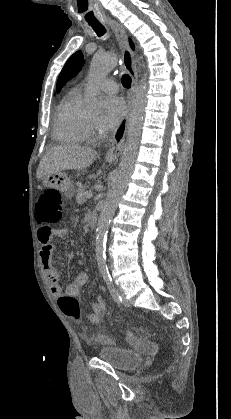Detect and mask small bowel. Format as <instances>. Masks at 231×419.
<instances>
[{"label": "small bowel", "mask_w": 231, "mask_h": 419, "mask_svg": "<svg viewBox=\"0 0 231 419\" xmlns=\"http://www.w3.org/2000/svg\"><path fill=\"white\" fill-rule=\"evenodd\" d=\"M67 234L65 228L52 229L48 225H42L37 232V238L40 243V259L43 270L50 282L52 294L59 298L60 296L67 295L78 298L81 293L82 287L88 281V273L80 271L76 274L75 278L67 285L65 291H62L59 285V275L53 265V253L55 250L54 239L64 238ZM92 311L88 314V320L91 324L98 325L102 322L106 315V303L102 297H97L92 303ZM133 343L137 344L138 339L133 337Z\"/></svg>", "instance_id": "1"}]
</instances>
